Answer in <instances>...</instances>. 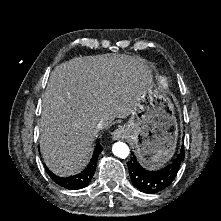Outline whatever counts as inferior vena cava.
<instances>
[{"label": "inferior vena cava", "mask_w": 221, "mask_h": 221, "mask_svg": "<svg viewBox=\"0 0 221 221\" xmlns=\"http://www.w3.org/2000/svg\"><path fill=\"white\" fill-rule=\"evenodd\" d=\"M105 127H106V123H105L103 120H100V121L97 123V125H96V128H97L98 130L103 129V128H105Z\"/></svg>", "instance_id": "602c4592"}]
</instances>
